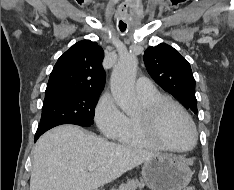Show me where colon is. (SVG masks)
<instances>
[{
	"label": "colon",
	"instance_id": "colon-1",
	"mask_svg": "<svg viewBox=\"0 0 234 190\" xmlns=\"http://www.w3.org/2000/svg\"><path fill=\"white\" fill-rule=\"evenodd\" d=\"M184 190H195L193 187H187Z\"/></svg>",
	"mask_w": 234,
	"mask_h": 190
}]
</instances>
